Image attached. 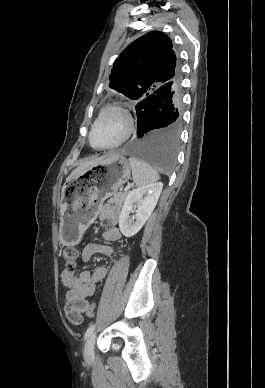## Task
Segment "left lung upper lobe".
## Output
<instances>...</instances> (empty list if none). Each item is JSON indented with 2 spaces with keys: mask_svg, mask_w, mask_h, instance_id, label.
<instances>
[{
  "mask_svg": "<svg viewBox=\"0 0 265 388\" xmlns=\"http://www.w3.org/2000/svg\"><path fill=\"white\" fill-rule=\"evenodd\" d=\"M180 67L170 38L149 32L132 42L115 60L109 87L137 100H148L162 85L180 80Z\"/></svg>",
  "mask_w": 265,
  "mask_h": 388,
  "instance_id": "obj_1",
  "label": "left lung upper lobe"
}]
</instances>
